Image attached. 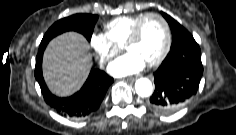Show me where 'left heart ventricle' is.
I'll return each instance as SVG.
<instances>
[{
    "instance_id": "1",
    "label": "left heart ventricle",
    "mask_w": 236,
    "mask_h": 135,
    "mask_svg": "<svg viewBox=\"0 0 236 135\" xmlns=\"http://www.w3.org/2000/svg\"><path fill=\"white\" fill-rule=\"evenodd\" d=\"M165 43V30L156 17L147 18L140 30L137 41L127 48V52L139 56L145 63L155 60Z\"/></svg>"
}]
</instances>
